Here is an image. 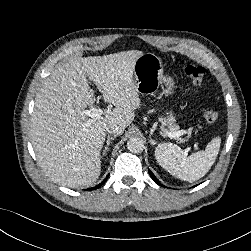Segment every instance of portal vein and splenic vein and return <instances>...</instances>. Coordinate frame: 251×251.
Returning a JSON list of instances; mask_svg holds the SVG:
<instances>
[{"label": "portal vein and splenic vein", "instance_id": "obj_1", "mask_svg": "<svg viewBox=\"0 0 251 251\" xmlns=\"http://www.w3.org/2000/svg\"><path fill=\"white\" fill-rule=\"evenodd\" d=\"M104 113L103 109H97V108H91L89 110H84L83 112H80L81 115H85L88 117H91L94 120L100 119L102 114ZM185 133V131H177V132H173V133H169L168 136L173 137V138H177L181 135H183Z\"/></svg>", "mask_w": 251, "mask_h": 251}]
</instances>
